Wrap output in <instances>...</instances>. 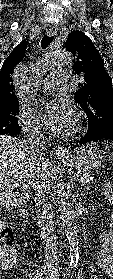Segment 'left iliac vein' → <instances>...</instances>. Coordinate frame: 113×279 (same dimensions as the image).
<instances>
[{
	"label": "left iliac vein",
	"instance_id": "left-iliac-vein-1",
	"mask_svg": "<svg viewBox=\"0 0 113 279\" xmlns=\"http://www.w3.org/2000/svg\"><path fill=\"white\" fill-rule=\"evenodd\" d=\"M45 279H56L55 276H53L50 272L46 273V278ZM58 279V278H57Z\"/></svg>",
	"mask_w": 113,
	"mask_h": 279
}]
</instances>
